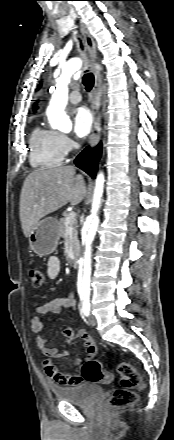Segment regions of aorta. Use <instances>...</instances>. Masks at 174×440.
<instances>
[{
	"label": "aorta",
	"instance_id": "aorta-1",
	"mask_svg": "<svg viewBox=\"0 0 174 440\" xmlns=\"http://www.w3.org/2000/svg\"><path fill=\"white\" fill-rule=\"evenodd\" d=\"M81 62L73 60L62 67L60 76L56 79V89L47 109V116L53 129L69 132L72 123L65 113L68 102V85L73 75L80 69ZM104 176L100 173L96 179L95 193L92 202L91 214L88 216L82 229V242L85 245L83 256L79 260L78 288L89 290L91 275V245L100 222L99 210L102 204V187Z\"/></svg>",
	"mask_w": 174,
	"mask_h": 440
}]
</instances>
